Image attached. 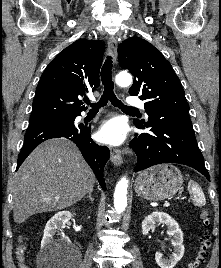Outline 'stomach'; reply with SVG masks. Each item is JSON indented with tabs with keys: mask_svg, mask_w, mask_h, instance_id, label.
Segmentation results:
<instances>
[{
	"mask_svg": "<svg viewBox=\"0 0 221 268\" xmlns=\"http://www.w3.org/2000/svg\"><path fill=\"white\" fill-rule=\"evenodd\" d=\"M183 176L172 164H160L141 172L135 180L138 196L148 200H164L173 196L182 186Z\"/></svg>",
	"mask_w": 221,
	"mask_h": 268,
	"instance_id": "obj_1",
	"label": "stomach"
}]
</instances>
